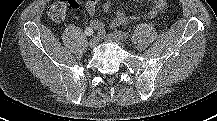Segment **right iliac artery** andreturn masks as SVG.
<instances>
[{"label":"right iliac artery","instance_id":"1","mask_svg":"<svg viewBox=\"0 0 217 121\" xmlns=\"http://www.w3.org/2000/svg\"><path fill=\"white\" fill-rule=\"evenodd\" d=\"M103 36H102V34L100 33V32H98V34H97V38H102Z\"/></svg>","mask_w":217,"mask_h":121}]
</instances>
